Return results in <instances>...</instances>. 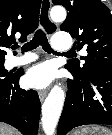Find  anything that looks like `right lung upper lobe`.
I'll return each mask as SVG.
<instances>
[{"label": "right lung upper lobe", "instance_id": "right-lung-upper-lobe-1", "mask_svg": "<svg viewBox=\"0 0 112 135\" xmlns=\"http://www.w3.org/2000/svg\"><path fill=\"white\" fill-rule=\"evenodd\" d=\"M41 0H0V61L7 54L15 34L27 39L38 27Z\"/></svg>", "mask_w": 112, "mask_h": 135}]
</instances>
